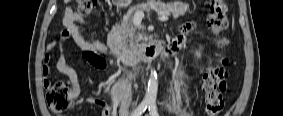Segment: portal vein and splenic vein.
Returning a JSON list of instances; mask_svg holds the SVG:
<instances>
[{
  "label": "portal vein and splenic vein",
  "mask_w": 283,
  "mask_h": 116,
  "mask_svg": "<svg viewBox=\"0 0 283 116\" xmlns=\"http://www.w3.org/2000/svg\"><path fill=\"white\" fill-rule=\"evenodd\" d=\"M145 17L144 13L142 11H136L134 14L135 20H142ZM169 19L168 14H162L158 17V20L161 22H166Z\"/></svg>",
  "instance_id": "portal-vein-and-splenic-vein-1"
}]
</instances>
